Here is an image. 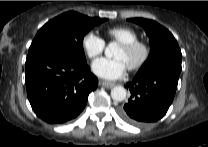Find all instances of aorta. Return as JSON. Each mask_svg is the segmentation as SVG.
I'll return each mask as SVG.
<instances>
[{
    "mask_svg": "<svg viewBox=\"0 0 208 147\" xmlns=\"http://www.w3.org/2000/svg\"><path fill=\"white\" fill-rule=\"evenodd\" d=\"M116 48L117 44L115 42L109 43L105 48V56L111 58ZM126 94V89L122 86H116L111 90L112 99L118 102L123 101L126 98Z\"/></svg>",
    "mask_w": 208,
    "mask_h": 147,
    "instance_id": "762f6f07",
    "label": "aorta"
}]
</instances>
